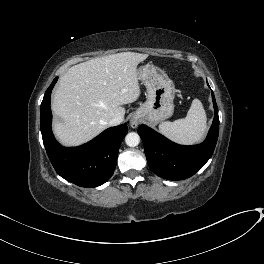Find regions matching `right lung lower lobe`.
Returning a JSON list of instances; mask_svg holds the SVG:
<instances>
[{
    "label": "right lung lower lobe",
    "instance_id": "right-lung-lower-lobe-1",
    "mask_svg": "<svg viewBox=\"0 0 264 264\" xmlns=\"http://www.w3.org/2000/svg\"><path fill=\"white\" fill-rule=\"evenodd\" d=\"M57 79L53 80L41 103L40 125L47 155L56 172L67 181L86 188L100 186L113 175L119 146L128 132L127 125L109 128L82 146L62 147L51 130L50 96Z\"/></svg>",
    "mask_w": 264,
    "mask_h": 264
}]
</instances>
